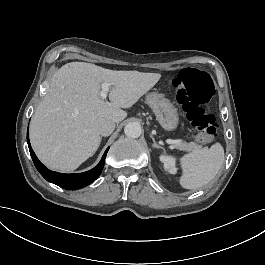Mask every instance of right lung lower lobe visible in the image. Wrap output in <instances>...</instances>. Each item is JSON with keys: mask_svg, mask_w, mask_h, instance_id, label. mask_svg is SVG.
Wrapping results in <instances>:
<instances>
[{"mask_svg": "<svg viewBox=\"0 0 265 265\" xmlns=\"http://www.w3.org/2000/svg\"><path fill=\"white\" fill-rule=\"evenodd\" d=\"M27 142L30 150V154L32 157V160L37 168V170L40 172V174L49 182L54 183L64 189L67 190H77L80 188H83L90 183H92L94 180L98 178L100 175L103 166L105 164V157L107 155V152L109 150V147L105 151L104 155L102 156L101 161L99 164L91 169L90 171L84 172V173H79V174H62V173H57L53 172L51 170H48L36 157L35 153L33 152L29 137L27 134Z\"/></svg>", "mask_w": 265, "mask_h": 265, "instance_id": "obj_1", "label": "right lung lower lobe"}]
</instances>
